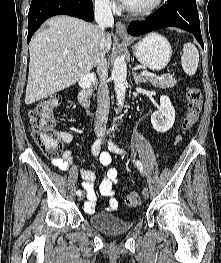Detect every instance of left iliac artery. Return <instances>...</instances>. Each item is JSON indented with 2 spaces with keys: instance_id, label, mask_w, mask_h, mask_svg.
I'll use <instances>...</instances> for the list:
<instances>
[{
  "instance_id": "obj_1",
  "label": "left iliac artery",
  "mask_w": 221,
  "mask_h": 263,
  "mask_svg": "<svg viewBox=\"0 0 221 263\" xmlns=\"http://www.w3.org/2000/svg\"><path fill=\"white\" fill-rule=\"evenodd\" d=\"M108 148H109L111 151H113V152H115V153H118V154H123V153H125L124 150H122L121 148H119L117 145L114 144V142L112 141L111 138H110V140L108 141ZM136 165H137L138 169L140 170V172L143 173V165H142V163H141L139 160H137V161H136Z\"/></svg>"
}]
</instances>
